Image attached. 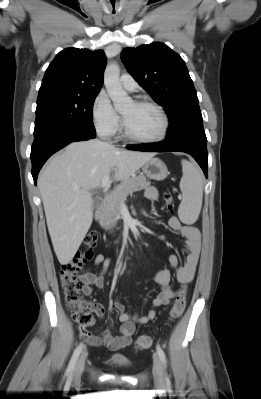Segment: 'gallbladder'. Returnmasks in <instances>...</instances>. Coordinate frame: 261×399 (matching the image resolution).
Returning <instances> with one entry per match:
<instances>
[{
  "label": "gallbladder",
  "mask_w": 261,
  "mask_h": 399,
  "mask_svg": "<svg viewBox=\"0 0 261 399\" xmlns=\"http://www.w3.org/2000/svg\"><path fill=\"white\" fill-rule=\"evenodd\" d=\"M101 201L102 199L100 196L93 197V209H97L100 206Z\"/></svg>",
  "instance_id": "bac80fb5"
}]
</instances>
